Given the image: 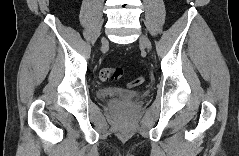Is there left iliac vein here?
<instances>
[{
  "instance_id": "obj_1",
  "label": "left iliac vein",
  "mask_w": 239,
  "mask_h": 156,
  "mask_svg": "<svg viewBox=\"0 0 239 156\" xmlns=\"http://www.w3.org/2000/svg\"><path fill=\"white\" fill-rule=\"evenodd\" d=\"M140 43L147 48L148 50L151 49V42L149 41V39L145 36V35H141L140 37Z\"/></svg>"
}]
</instances>
